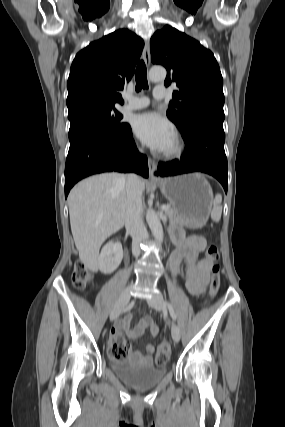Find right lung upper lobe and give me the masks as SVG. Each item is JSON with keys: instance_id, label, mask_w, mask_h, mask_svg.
Instances as JSON below:
<instances>
[{"instance_id": "1", "label": "right lung upper lobe", "mask_w": 285, "mask_h": 427, "mask_svg": "<svg viewBox=\"0 0 285 427\" xmlns=\"http://www.w3.org/2000/svg\"><path fill=\"white\" fill-rule=\"evenodd\" d=\"M143 46L140 37L120 29L81 50L67 82L68 115L90 106L122 104L118 91L132 78Z\"/></svg>"}]
</instances>
